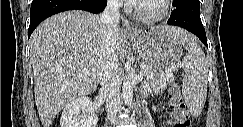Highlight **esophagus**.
<instances>
[{
	"mask_svg": "<svg viewBox=\"0 0 243 127\" xmlns=\"http://www.w3.org/2000/svg\"><path fill=\"white\" fill-rule=\"evenodd\" d=\"M123 31L125 34L133 35L136 33V28L128 20H124Z\"/></svg>",
	"mask_w": 243,
	"mask_h": 127,
	"instance_id": "1",
	"label": "esophagus"
}]
</instances>
